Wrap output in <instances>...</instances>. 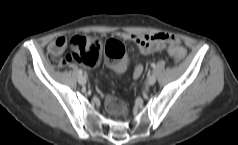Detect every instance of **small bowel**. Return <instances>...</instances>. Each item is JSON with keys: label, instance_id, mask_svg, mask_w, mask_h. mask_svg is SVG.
<instances>
[{"label": "small bowel", "instance_id": "1", "mask_svg": "<svg viewBox=\"0 0 238 145\" xmlns=\"http://www.w3.org/2000/svg\"><path fill=\"white\" fill-rule=\"evenodd\" d=\"M117 36L123 40H129L137 43L140 53L142 55H148L153 52L167 50L170 54L172 48L181 49L185 52L183 46L179 40L172 34L167 33H156L152 35L147 34H133L118 32ZM67 41L63 37H58L53 40L48 46V51L53 56L60 55L66 48ZM71 59V58H70ZM143 73V66L136 64L133 67L132 75L134 78H139Z\"/></svg>", "mask_w": 238, "mask_h": 145}]
</instances>
